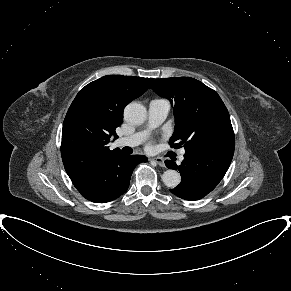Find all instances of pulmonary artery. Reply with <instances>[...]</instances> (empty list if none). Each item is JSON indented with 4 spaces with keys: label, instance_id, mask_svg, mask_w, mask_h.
<instances>
[{
    "label": "pulmonary artery",
    "instance_id": "obj_1",
    "mask_svg": "<svg viewBox=\"0 0 291 291\" xmlns=\"http://www.w3.org/2000/svg\"><path fill=\"white\" fill-rule=\"evenodd\" d=\"M170 111V103L161 98H156L150 101L148 106V127L154 128L159 126L167 117ZM148 131H141L134 133L129 136L120 137L115 141V145L118 147H135L141 144L146 136ZM185 151L180 152V159L184 158Z\"/></svg>",
    "mask_w": 291,
    "mask_h": 291
}]
</instances>
